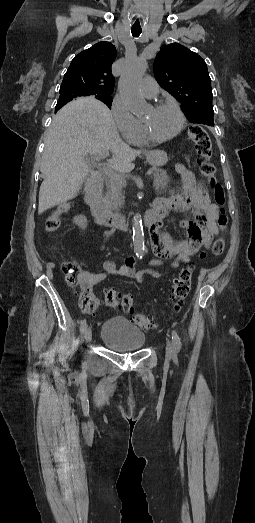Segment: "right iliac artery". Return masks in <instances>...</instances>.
<instances>
[{"label": "right iliac artery", "mask_w": 255, "mask_h": 523, "mask_svg": "<svg viewBox=\"0 0 255 523\" xmlns=\"http://www.w3.org/2000/svg\"><path fill=\"white\" fill-rule=\"evenodd\" d=\"M86 328H87V323H86V320L84 319V320L82 321V323H81L80 331H81L82 333H84L85 330H86Z\"/></svg>", "instance_id": "82829eb1"}]
</instances>
